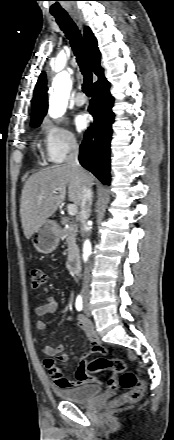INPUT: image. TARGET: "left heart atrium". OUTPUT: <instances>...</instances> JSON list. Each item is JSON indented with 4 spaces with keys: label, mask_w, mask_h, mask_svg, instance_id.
Here are the masks:
<instances>
[{
    "label": "left heart atrium",
    "mask_w": 174,
    "mask_h": 440,
    "mask_svg": "<svg viewBox=\"0 0 174 440\" xmlns=\"http://www.w3.org/2000/svg\"><path fill=\"white\" fill-rule=\"evenodd\" d=\"M89 124V117L85 113H79L74 118V125L77 131H83Z\"/></svg>",
    "instance_id": "1"
}]
</instances>
